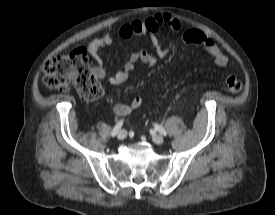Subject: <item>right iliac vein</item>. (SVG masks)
Segmentation results:
<instances>
[{
  "instance_id": "1",
  "label": "right iliac vein",
  "mask_w": 275,
  "mask_h": 215,
  "mask_svg": "<svg viewBox=\"0 0 275 215\" xmlns=\"http://www.w3.org/2000/svg\"><path fill=\"white\" fill-rule=\"evenodd\" d=\"M127 137V131L126 130H120L117 134V138L119 140H123Z\"/></svg>"
}]
</instances>
